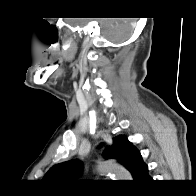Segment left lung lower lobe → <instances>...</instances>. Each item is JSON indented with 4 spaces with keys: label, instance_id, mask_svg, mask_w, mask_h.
<instances>
[{
    "label": "left lung lower lobe",
    "instance_id": "1",
    "mask_svg": "<svg viewBox=\"0 0 196 196\" xmlns=\"http://www.w3.org/2000/svg\"><path fill=\"white\" fill-rule=\"evenodd\" d=\"M134 179L136 181H145L151 179L148 174V166L143 161L139 162L134 173Z\"/></svg>",
    "mask_w": 196,
    "mask_h": 196
}]
</instances>
